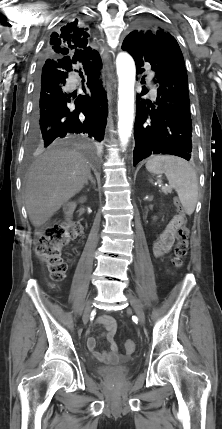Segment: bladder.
<instances>
[{
	"label": "bladder",
	"mask_w": 222,
	"mask_h": 429,
	"mask_svg": "<svg viewBox=\"0 0 222 429\" xmlns=\"http://www.w3.org/2000/svg\"><path fill=\"white\" fill-rule=\"evenodd\" d=\"M131 371V366H118V367H109V366H96L95 372L102 378L108 379H121L126 377Z\"/></svg>",
	"instance_id": "31cf9c89"
}]
</instances>
